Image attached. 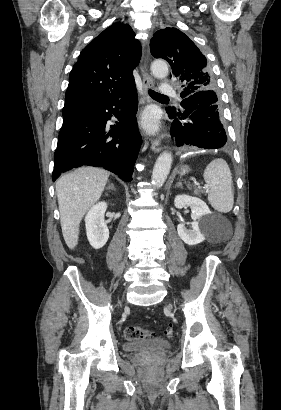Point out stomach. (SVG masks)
I'll list each match as a JSON object with an SVG mask.
<instances>
[{"instance_id": "0dacf381", "label": "stomach", "mask_w": 281, "mask_h": 410, "mask_svg": "<svg viewBox=\"0 0 281 410\" xmlns=\"http://www.w3.org/2000/svg\"><path fill=\"white\" fill-rule=\"evenodd\" d=\"M188 170H189L188 167H186V166L182 167L181 172H180L181 175L186 174L188 172Z\"/></svg>"}]
</instances>
